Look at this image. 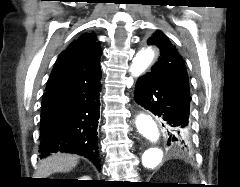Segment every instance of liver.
<instances>
[{
    "mask_svg": "<svg viewBox=\"0 0 240 187\" xmlns=\"http://www.w3.org/2000/svg\"><path fill=\"white\" fill-rule=\"evenodd\" d=\"M78 156L56 153L40 161L36 176L46 178L55 172H68L78 163Z\"/></svg>",
    "mask_w": 240,
    "mask_h": 187,
    "instance_id": "liver-1",
    "label": "liver"
}]
</instances>
